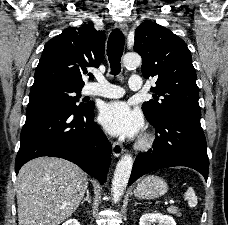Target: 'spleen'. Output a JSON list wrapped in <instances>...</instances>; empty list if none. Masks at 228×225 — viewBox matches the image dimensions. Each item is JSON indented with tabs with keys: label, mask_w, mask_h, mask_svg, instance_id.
<instances>
[{
	"label": "spleen",
	"mask_w": 228,
	"mask_h": 225,
	"mask_svg": "<svg viewBox=\"0 0 228 225\" xmlns=\"http://www.w3.org/2000/svg\"><path fill=\"white\" fill-rule=\"evenodd\" d=\"M184 199H186V201H188V205L189 207H196L197 203H198V199L195 195V191L194 189H192V187H189V189H187L185 195H184Z\"/></svg>",
	"instance_id": "obj_1"
}]
</instances>
